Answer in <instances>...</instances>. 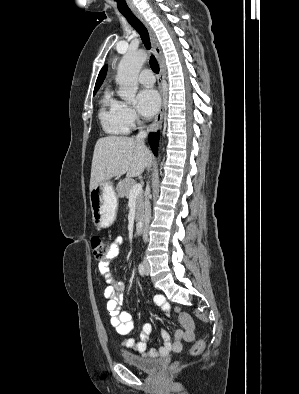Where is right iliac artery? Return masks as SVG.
<instances>
[{"mask_svg":"<svg viewBox=\"0 0 299 394\" xmlns=\"http://www.w3.org/2000/svg\"><path fill=\"white\" fill-rule=\"evenodd\" d=\"M138 271H139V273H140L141 276H144V275H145V268H144L143 263H140V264H139Z\"/></svg>","mask_w":299,"mask_h":394,"instance_id":"right-iliac-artery-1","label":"right iliac artery"}]
</instances>
